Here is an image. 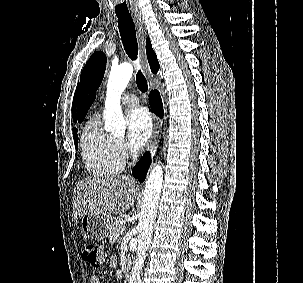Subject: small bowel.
Masks as SVG:
<instances>
[{
  "mask_svg": "<svg viewBox=\"0 0 303 283\" xmlns=\"http://www.w3.org/2000/svg\"><path fill=\"white\" fill-rule=\"evenodd\" d=\"M115 263H116V259L112 258L111 261H110V264L114 265ZM90 283H100L99 277L97 275H92L90 277Z\"/></svg>",
  "mask_w": 303,
  "mask_h": 283,
  "instance_id": "1",
  "label": "small bowel"
}]
</instances>
